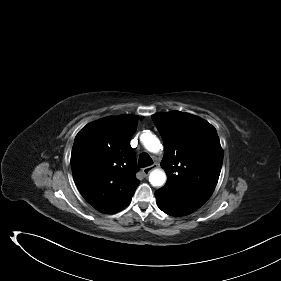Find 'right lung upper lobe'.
Wrapping results in <instances>:
<instances>
[{"mask_svg":"<svg viewBox=\"0 0 281 281\" xmlns=\"http://www.w3.org/2000/svg\"><path fill=\"white\" fill-rule=\"evenodd\" d=\"M137 122L135 115L104 118L86 125L75 138L71 153L75 183L85 200L100 212L122 209L140 182L129 144Z\"/></svg>","mask_w":281,"mask_h":281,"instance_id":"1","label":"right lung upper lobe"}]
</instances>
